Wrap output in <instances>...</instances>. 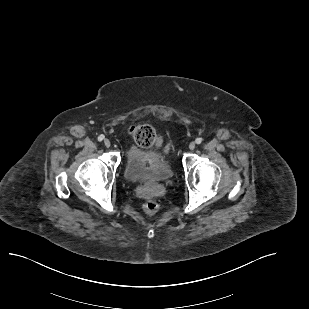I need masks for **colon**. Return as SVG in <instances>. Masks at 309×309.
I'll list each match as a JSON object with an SVG mask.
<instances>
[{"label": "colon", "instance_id": "obj_1", "mask_svg": "<svg viewBox=\"0 0 309 309\" xmlns=\"http://www.w3.org/2000/svg\"><path fill=\"white\" fill-rule=\"evenodd\" d=\"M131 134L141 147L160 146L162 143L161 137L148 125L133 126ZM143 209L147 214L153 215L158 212L159 204L154 200H148L144 203Z\"/></svg>", "mask_w": 309, "mask_h": 309}]
</instances>
